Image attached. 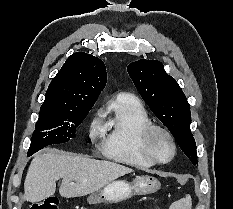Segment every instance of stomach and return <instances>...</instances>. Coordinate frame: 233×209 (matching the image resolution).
I'll use <instances>...</instances> for the list:
<instances>
[{
    "mask_svg": "<svg viewBox=\"0 0 233 209\" xmlns=\"http://www.w3.org/2000/svg\"><path fill=\"white\" fill-rule=\"evenodd\" d=\"M160 188L157 178L150 175L136 176L132 182L114 180L87 198L89 204L117 203L134 195H146Z\"/></svg>",
    "mask_w": 233,
    "mask_h": 209,
    "instance_id": "1",
    "label": "stomach"
}]
</instances>
